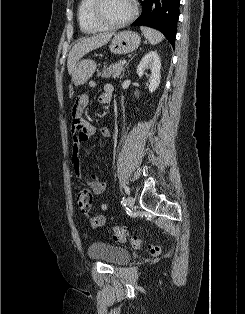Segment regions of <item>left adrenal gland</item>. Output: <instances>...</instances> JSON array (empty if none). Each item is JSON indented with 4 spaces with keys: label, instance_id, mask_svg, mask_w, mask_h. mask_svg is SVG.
Segmentation results:
<instances>
[{
    "label": "left adrenal gland",
    "instance_id": "1",
    "mask_svg": "<svg viewBox=\"0 0 245 314\" xmlns=\"http://www.w3.org/2000/svg\"><path fill=\"white\" fill-rule=\"evenodd\" d=\"M135 56V55H134ZM128 66V63L126 64V66L125 67H127ZM123 75H124V73H123Z\"/></svg>",
    "mask_w": 245,
    "mask_h": 314
}]
</instances>
